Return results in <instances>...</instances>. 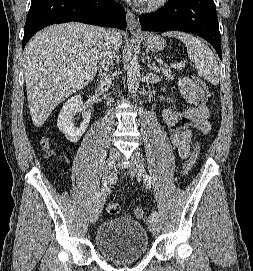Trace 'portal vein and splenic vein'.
<instances>
[{
  "instance_id": "obj_1",
  "label": "portal vein and splenic vein",
  "mask_w": 253,
  "mask_h": 271,
  "mask_svg": "<svg viewBox=\"0 0 253 271\" xmlns=\"http://www.w3.org/2000/svg\"><path fill=\"white\" fill-rule=\"evenodd\" d=\"M171 67L174 69H182L185 67L184 63L171 64Z\"/></svg>"
}]
</instances>
